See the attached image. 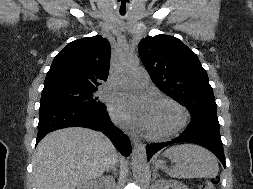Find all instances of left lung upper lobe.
<instances>
[{"mask_svg": "<svg viewBox=\"0 0 253 189\" xmlns=\"http://www.w3.org/2000/svg\"><path fill=\"white\" fill-rule=\"evenodd\" d=\"M138 51L154 84L183 104L192 119L218 121L207 72L191 49L178 38L157 35L141 40Z\"/></svg>", "mask_w": 253, "mask_h": 189, "instance_id": "obj_1", "label": "left lung upper lobe"}]
</instances>
